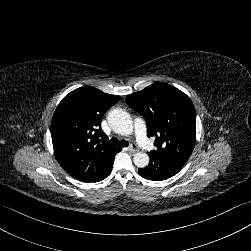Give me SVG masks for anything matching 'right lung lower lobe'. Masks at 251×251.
Wrapping results in <instances>:
<instances>
[{"label": "right lung lower lobe", "instance_id": "obj_1", "mask_svg": "<svg viewBox=\"0 0 251 251\" xmlns=\"http://www.w3.org/2000/svg\"><path fill=\"white\" fill-rule=\"evenodd\" d=\"M111 170H112V166H111V168L109 169V171L107 172V174H106L101 180L105 179V178L110 174ZM101 180H100V181H101Z\"/></svg>", "mask_w": 251, "mask_h": 251}]
</instances>
